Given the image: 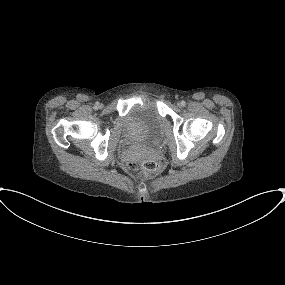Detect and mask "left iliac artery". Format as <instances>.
<instances>
[{"label": "left iliac artery", "instance_id": "left-iliac-artery-1", "mask_svg": "<svg viewBox=\"0 0 285 285\" xmlns=\"http://www.w3.org/2000/svg\"><path fill=\"white\" fill-rule=\"evenodd\" d=\"M181 105L184 107L186 105L185 101H181Z\"/></svg>", "mask_w": 285, "mask_h": 285}]
</instances>
